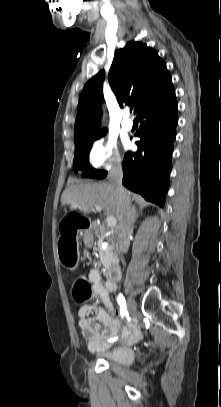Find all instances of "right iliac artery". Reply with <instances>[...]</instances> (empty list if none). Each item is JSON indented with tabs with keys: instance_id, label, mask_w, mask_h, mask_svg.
<instances>
[{
	"instance_id": "1",
	"label": "right iliac artery",
	"mask_w": 221,
	"mask_h": 407,
	"mask_svg": "<svg viewBox=\"0 0 221 407\" xmlns=\"http://www.w3.org/2000/svg\"><path fill=\"white\" fill-rule=\"evenodd\" d=\"M118 304L120 306V315L122 318H124L126 315L128 316L127 312V306H126V301L125 297L122 294H119L117 297ZM117 337L113 338L111 341H116Z\"/></svg>"
}]
</instances>
